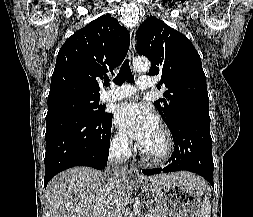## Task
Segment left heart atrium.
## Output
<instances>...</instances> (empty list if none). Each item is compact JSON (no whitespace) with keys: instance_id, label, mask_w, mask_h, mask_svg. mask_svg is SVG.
<instances>
[{"instance_id":"39dd6f15","label":"left heart atrium","mask_w":253,"mask_h":217,"mask_svg":"<svg viewBox=\"0 0 253 217\" xmlns=\"http://www.w3.org/2000/svg\"><path fill=\"white\" fill-rule=\"evenodd\" d=\"M114 121L119 130L137 141L140 147L159 128L156 114L149 107L134 101L122 104Z\"/></svg>"}]
</instances>
